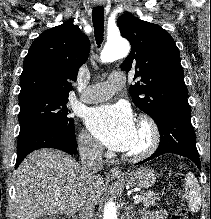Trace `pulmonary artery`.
Listing matches in <instances>:
<instances>
[{
    "label": "pulmonary artery",
    "instance_id": "pulmonary-artery-1",
    "mask_svg": "<svg viewBox=\"0 0 211 219\" xmlns=\"http://www.w3.org/2000/svg\"><path fill=\"white\" fill-rule=\"evenodd\" d=\"M126 77L123 72L113 71L107 82L90 85L80 96L84 103H96L107 100L117 89L125 83Z\"/></svg>",
    "mask_w": 211,
    "mask_h": 219
}]
</instances>
